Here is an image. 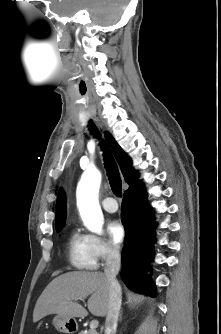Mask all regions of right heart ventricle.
Here are the masks:
<instances>
[{
  "instance_id": "e07e8e85",
  "label": "right heart ventricle",
  "mask_w": 221,
  "mask_h": 334,
  "mask_svg": "<svg viewBox=\"0 0 221 334\" xmlns=\"http://www.w3.org/2000/svg\"><path fill=\"white\" fill-rule=\"evenodd\" d=\"M67 254L70 264L79 270H94L97 267L91 236L72 229L67 238Z\"/></svg>"
}]
</instances>
